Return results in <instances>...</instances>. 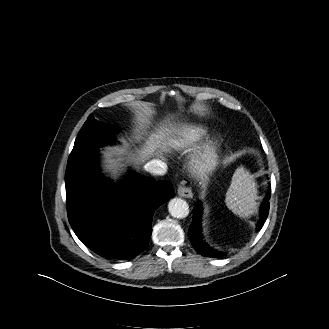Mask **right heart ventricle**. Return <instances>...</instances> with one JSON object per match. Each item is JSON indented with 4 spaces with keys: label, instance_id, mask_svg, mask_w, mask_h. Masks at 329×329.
I'll use <instances>...</instances> for the list:
<instances>
[{
    "label": "right heart ventricle",
    "instance_id": "right-heart-ventricle-1",
    "mask_svg": "<svg viewBox=\"0 0 329 329\" xmlns=\"http://www.w3.org/2000/svg\"><path fill=\"white\" fill-rule=\"evenodd\" d=\"M208 133L209 131L202 126H186L176 132L171 144L175 149L187 150L204 140Z\"/></svg>",
    "mask_w": 329,
    "mask_h": 329
}]
</instances>
